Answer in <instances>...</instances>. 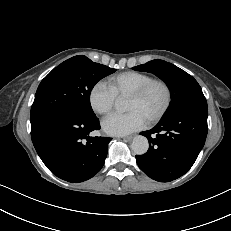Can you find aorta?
<instances>
[{"instance_id": "1", "label": "aorta", "mask_w": 231, "mask_h": 231, "mask_svg": "<svg viewBox=\"0 0 231 231\" xmlns=\"http://www.w3.org/2000/svg\"><path fill=\"white\" fill-rule=\"evenodd\" d=\"M115 106L118 110H125V103L122 100H117ZM131 148L133 152L137 155H143L148 151L149 142L145 136L138 135L133 138L131 143Z\"/></svg>"}]
</instances>
